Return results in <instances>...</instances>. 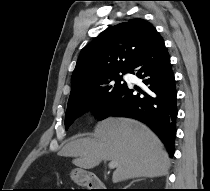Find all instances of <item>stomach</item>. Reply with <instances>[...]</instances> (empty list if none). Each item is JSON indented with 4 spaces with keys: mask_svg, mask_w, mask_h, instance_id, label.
Listing matches in <instances>:
<instances>
[{
    "mask_svg": "<svg viewBox=\"0 0 210 191\" xmlns=\"http://www.w3.org/2000/svg\"><path fill=\"white\" fill-rule=\"evenodd\" d=\"M71 178L78 185L86 186L90 180V174L82 169H75L71 172Z\"/></svg>",
    "mask_w": 210,
    "mask_h": 191,
    "instance_id": "obj_1",
    "label": "stomach"
}]
</instances>
